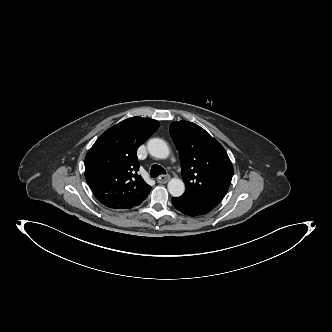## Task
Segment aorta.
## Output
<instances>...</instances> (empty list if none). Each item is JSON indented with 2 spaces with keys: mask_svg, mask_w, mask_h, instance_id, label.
<instances>
[{
  "mask_svg": "<svg viewBox=\"0 0 332 332\" xmlns=\"http://www.w3.org/2000/svg\"><path fill=\"white\" fill-rule=\"evenodd\" d=\"M147 149L151 156L158 159H165L170 154L168 145L160 138L150 139L147 143ZM168 191L173 197L181 196L185 191L184 182L179 178H172L168 182Z\"/></svg>",
  "mask_w": 332,
  "mask_h": 332,
  "instance_id": "aorta-1",
  "label": "aorta"
}]
</instances>
